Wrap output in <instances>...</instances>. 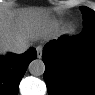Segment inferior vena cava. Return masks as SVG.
I'll return each mask as SVG.
<instances>
[{
  "label": "inferior vena cava",
  "instance_id": "602c4592",
  "mask_svg": "<svg viewBox=\"0 0 95 95\" xmlns=\"http://www.w3.org/2000/svg\"><path fill=\"white\" fill-rule=\"evenodd\" d=\"M29 45L26 41H19L9 47V50L16 54L24 53L28 49Z\"/></svg>",
  "mask_w": 95,
  "mask_h": 95
}]
</instances>
